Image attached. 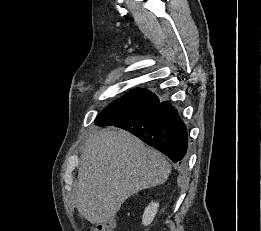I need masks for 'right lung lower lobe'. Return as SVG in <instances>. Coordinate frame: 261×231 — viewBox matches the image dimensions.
Returning <instances> with one entry per match:
<instances>
[{
  "mask_svg": "<svg viewBox=\"0 0 261 231\" xmlns=\"http://www.w3.org/2000/svg\"><path fill=\"white\" fill-rule=\"evenodd\" d=\"M156 148L174 163L184 164L187 151V129L169 101L159 102L147 111L115 124Z\"/></svg>",
  "mask_w": 261,
  "mask_h": 231,
  "instance_id": "right-lung-lower-lobe-1",
  "label": "right lung lower lobe"
}]
</instances>
